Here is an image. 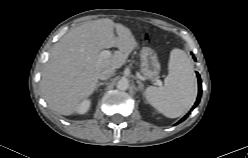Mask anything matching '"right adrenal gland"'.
Instances as JSON below:
<instances>
[{
	"label": "right adrenal gland",
	"instance_id": "right-adrenal-gland-1",
	"mask_svg": "<svg viewBox=\"0 0 248 158\" xmlns=\"http://www.w3.org/2000/svg\"><path fill=\"white\" fill-rule=\"evenodd\" d=\"M106 84V82H98L96 85V90L99 88V86Z\"/></svg>",
	"mask_w": 248,
	"mask_h": 158
}]
</instances>
